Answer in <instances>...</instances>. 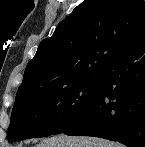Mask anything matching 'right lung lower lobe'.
<instances>
[{"label": "right lung lower lobe", "instance_id": "right-lung-lower-lobe-1", "mask_svg": "<svg viewBox=\"0 0 145 147\" xmlns=\"http://www.w3.org/2000/svg\"><path fill=\"white\" fill-rule=\"evenodd\" d=\"M101 76L96 96L63 133L145 147V36L117 57Z\"/></svg>", "mask_w": 145, "mask_h": 147}]
</instances>
